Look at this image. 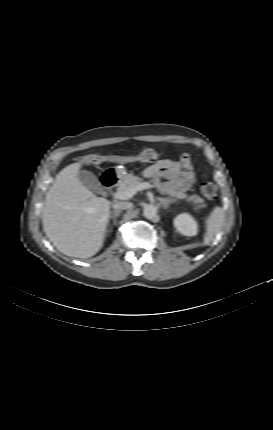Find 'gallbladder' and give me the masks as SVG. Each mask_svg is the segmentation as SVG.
<instances>
[{
  "label": "gallbladder",
  "mask_w": 273,
  "mask_h": 430,
  "mask_svg": "<svg viewBox=\"0 0 273 430\" xmlns=\"http://www.w3.org/2000/svg\"><path fill=\"white\" fill-rule=\"evenodd\" d=\"M78 178L80 182L87 188L99 193L102 190V186L97 180L96 176L87 170H81L78 173Z\"/></svg>",
  "instance_id": "bac80fb5"
}]
</instances>
